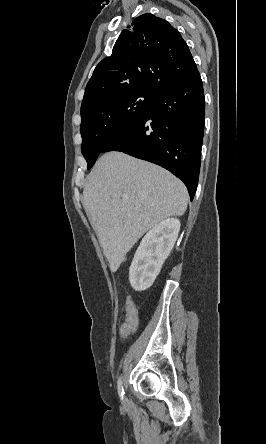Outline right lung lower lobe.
<instances>
[{"instance_id": "obj_1", "label": "right lung lower lobe", "mask_w": 266, "mask_h": 444, "mask_svg": "<svg viewBox=\"0 0 266 444\" xmlns=\"http://www.w3.org/2000/svg\"><path fill=\"white\" fill-rule=\"evenodd\" d=\"M205 100L198 70L155 94L149 112L116 135L102 153L120 151L155 163L186 185L192 200L198 184Z\"/></svg>"}]
</instances>
